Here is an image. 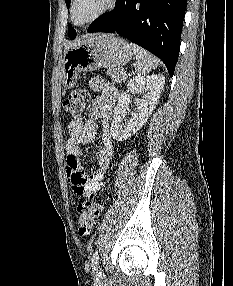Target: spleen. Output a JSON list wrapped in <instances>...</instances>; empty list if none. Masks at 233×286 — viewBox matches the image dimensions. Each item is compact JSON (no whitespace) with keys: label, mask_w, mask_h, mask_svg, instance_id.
Returning a JSON list of instances; mask_svg holds the SVG:
<instances>
[{"label":"spleen","mask_w":233,"mask_h":286,"mask_svg":"<svg viewBox=\"0 0 233 286\" xmlns=\"http://www.w3.org/2000/svg\"><path fill=\"white\" fill-rule=\"evenodd\" d=\"M130 47L132 48L137 59V66L135 70L138 75H146L150 73L152 69H155L158 66L159 61L157 58L147 50L134 43H130Z\"/></svg>","instance_id":"3e777b00"}]
</instances>
